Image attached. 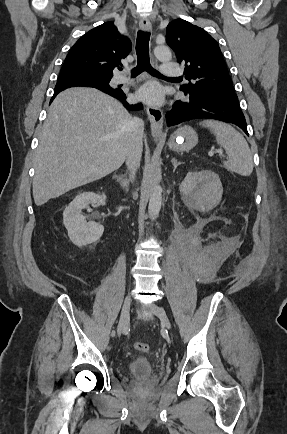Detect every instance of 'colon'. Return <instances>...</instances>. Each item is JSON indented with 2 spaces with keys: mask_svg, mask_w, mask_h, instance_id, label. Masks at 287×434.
<instances>
[{
  "mask_svg": "<svg viewBox=\"0 0 287 434\" xmlns=\"http://www.w3.org/2000/svg\"><path fill=\"white\" fill-rule=\"evenodd\" d=\"M133 346L136 350H138L140 352H148V350H149V346L145 342L138 341V342H135Z\"/></svg>",
  "mask_w": 287,
  "mask_h": 434,
  "instance_id": "colon-1",
  "label": "colon"
}]
</instances>
